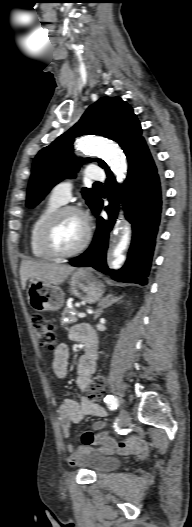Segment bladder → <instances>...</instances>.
I'll return each instance as SVG.
<instances>
[{
	"label": "bladder",
	"mask_w": 192,
	"mask_h": 527,
	"mask_svg": "<svg viewBox=\"0 0 192 527\" xmlns=\"http://www.w3.org/2000/svg\"><path fill=\"white\" fill-rule=\"evenodd\" d=\"M78 464L96 474H99L108 472L117 467L119 464V458L95 451L83 455L79 459Z\"/></svg>",
	"instance_id": "bladder-1"
}]
</instances>
